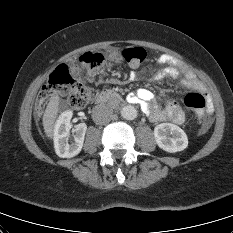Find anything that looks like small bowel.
Returning a JSON list of instances; mask_svg holds the SVG:
<instances>
[{
	"mask_svg": "<svg viewBox=\"0 0 233 233\" xmlns=\"http://www.w3.org/2000/svg\"><path fill=\"white\" fill-rule=\"evenodd\" d=\"M157 65L162 68L153 69L151 79L158 81L164 78L177 79L187 88L205 93V87L201 81L188 69L181 66L173 57L167 54L160 55L157 59ZM137 72L132 71L129 75L131 80L137 78ZM153 94L150 90L141 88L128 96V101L139 105L143 112L153 121H170L176 124H182L186 120V114L178 101H172L165 107H158L152 104ZM213 110L211 102H208L206 114ZM210 126L209 120L202 124V131Z\"/></svg>",
	"mask_w": 233,
	"mask_h": 233,
	"instance_id": "c3829d8e",
	"label": "small bowel"
}]
</instances>
